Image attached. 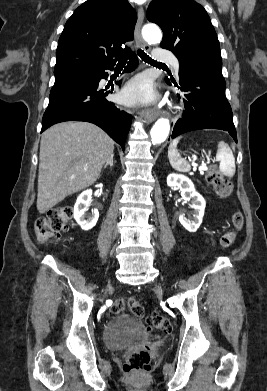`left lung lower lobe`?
Segmentation results:
<instances>
[{"label": "left lung lower lobe", "mask_w": 267, "mask_h": 391, "mask_svg": "<svg viewBox=\"0 0 267 391\" xmlns=\"http://www.w3.org/2000/svg\"><path fill=\"white\" fill-rule=\"evenodd\" d=\"M172 82L186 92L183 99L185 111L174 126L172 138L192 130L214 128L228 131L237 142L222 74L203 69H186L179 71L180 86Z\"/></svg>", "instance_id": "left-lung-lower-lobe-1"}]
</instances>
